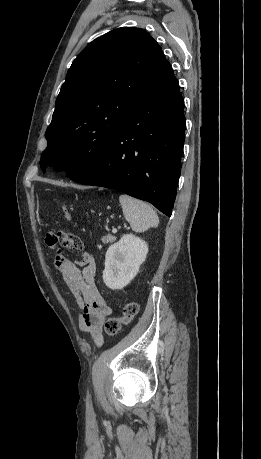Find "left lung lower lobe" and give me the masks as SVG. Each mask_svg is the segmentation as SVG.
I'll return each instance as SVG.
<instances>
[{
	"label": "left lung lower lobe",
	"instance_id": "1",
	"mask_svg": "<svg viewBox=\"0 0 261 459\" xmlns=\"http://www.w3.org/2000/svg\"><path fill=\"white\" fill-rule=\"evenodd\" d=\"M183 108L171 71L133 112L101 159L70 179L121 191L171 216L184 145Z\"/></svg>",
	"mask_w": 261,
	"mask_h": 459
}]
</instances>
